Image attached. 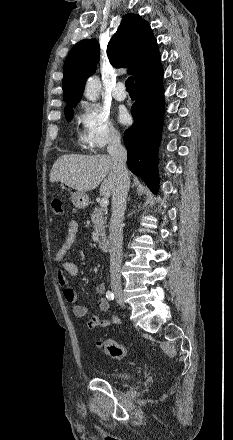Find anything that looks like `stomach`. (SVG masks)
<instances>
[{
	"label": "stomach",
	"instance_id": "1",
	"mask_svg": "<svg viewBox=\"0 0 233 440\" xmlns=\"http://www.w3.org/2000/svg\"><path fill=\"white\" fill-rule=\"evenodd\" d=\"M73 205L78 209H84L89 205V198L85 192L76 191L71 195Z\"/></svg>",
	"mask_w": 233,
	"mask_h": 440
}]
</instances>
